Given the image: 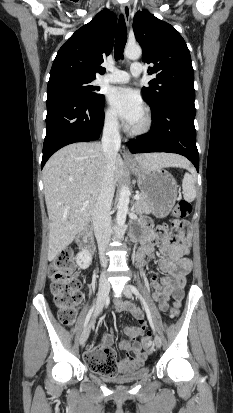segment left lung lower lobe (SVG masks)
Listing matches in <instances>:
<instances>
[{"label":"left lung lower lobe","mask_w":233,"mask_h":413,"mask_svg":"<svg viewBox=\"0 0 233 413\" xmlns=\"http://www.w3.org/2000/svg\"><path fill=\"white\" fill-rule=\"evenodd\" d=\"M151 132L127 143L132 153L170 152L188 158L199 171L194 118L195 107L174 102L153 110Z\"/></svg>","instance_id":"obj_1"}]
</instances>
